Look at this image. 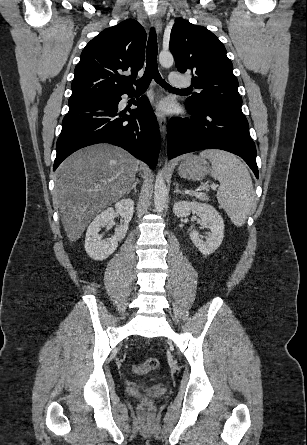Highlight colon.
Returning a JSON list of instances; mask_svg holds the SVG:
<instances>
[{
	"label": "colon",
	"instance_id": "5ec220e1",
	"mask_svg": "<svg viewBox=\"0 0 307 445\" xmlns=\"http://www.w3.org/2000/svg\"><path fill=\"white\" fill-rule=\"evenodd\" d=\"M159 366V361L157 358L151 357L143 361L142 363L136 364L133 367V371L139 375H146L156 370ZM144 407H148L149 403L145 401L143 403Z\"/></svg>",
	"mask_w": 307,
	"mask_h": 445
}]
</instances>
